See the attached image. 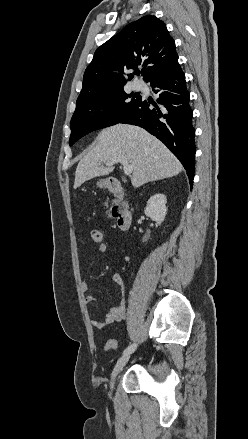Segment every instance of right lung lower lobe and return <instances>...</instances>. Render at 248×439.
Masks as SVG:
<instances>
[{
  "mask_svg": "<svg viewBox=\"0 0 248 439\" xmlns=\"http://www.w3.org/2000/svg\"><path fill=\"white\" fill-rule=\"evenodd\" d=\"M148 82L159 98L158 104L140 98L119 123L137 125L161 140L184 166L190 185L195 170V130L190 94L180 66L152 77Z\"/></svg>",
  "mask_w": 248,
  "mask_h": 439,
  "instance_id": "98d812e1",
  "label": "right lung lower lobe"
}]
</instances>
